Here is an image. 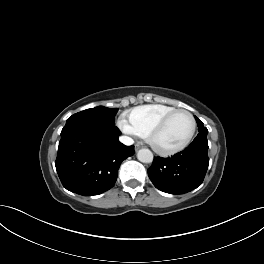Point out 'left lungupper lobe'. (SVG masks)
Returning a JSON list of instances; mask_svg holds the SVG:
<instances>
[{"instance_id":"obj_1","label":"left lung upper lobe","mask_w":264,"mask_h":264,"mask_svg":"<svg viewBox=\"0 0 264 264\" xmlns=\"http://www.w3.org/2000/svg\"><path fill=\"white\" fill-rule=\"evenodd\" d=\"M195 119L197 121L198 131H199L197 137H205V138H207V133H208L207 128L204 127L202 121L200 119H198L196 116H195Z\"/></svg>"}]
</instances>
